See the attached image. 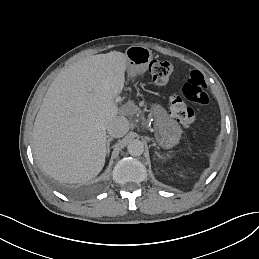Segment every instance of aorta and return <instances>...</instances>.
Returning a JSON list of instances; mask_svg holds the SVG:
<instances>
[{
    "instance_id": "762f6f07",
    "label": "aorta",
    "mask_w": 259,
    "mask_h": 259,
    "mask_svg": "<svg viewBox=\"0 0 259 259\" xmlns=\"http://www.w3.org/2000/svg\"><path fill=\"white\" fill-rule=\"evenodd\" d=\"M127 150L131 156H140L144 152V144L140 140L134 139L129 142Z\"/></svg>"
}]
</instances>
